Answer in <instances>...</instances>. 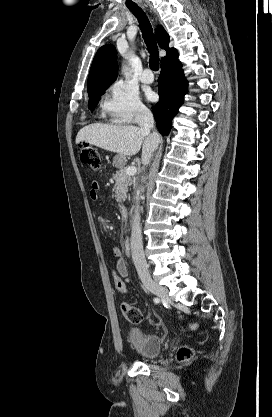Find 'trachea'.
I'll return each instance as SVG.
<instances>
[{"mask_svg": "<svg viewBox=\"0 0 272 417\" xmlns=\"http://www.w3.org/2000/svg\"><path fill=\"white\" fill-rule=\"evenodd\" d=\"M129 10L134 14L138 19V22L142 29L143 38L145 44L150 53L149 65L153 71L159 70V55H158V46L153 35L152 26L148 20V17L143 12V10L138 6H129Z\"/></svg>", "mask_w": 272, "mask_h": 417, "instance_id": "3493384b", "label": "trachea"}]
</instances>
